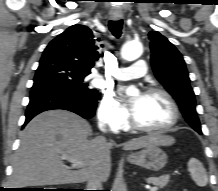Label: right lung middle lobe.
<instances>
[{
  "mask_svg": "<svg viewBox=\"0 0 218 191\" xmlns=\"http://www.w3.org/2000/svg\"><path fill=\"white\" fill-rule=\"evenodd\" d=\"M88 73L80 72L69 64L52 57H42L36 70L34 83L52 82L87 97L98 96V91L84 82Z\"/></svg>",
  "mask_w": 218,
  "mask_h": 191,
  "instance_id": "obj_1",
  "label": "right lung middle lobe"
}]
</instances>
